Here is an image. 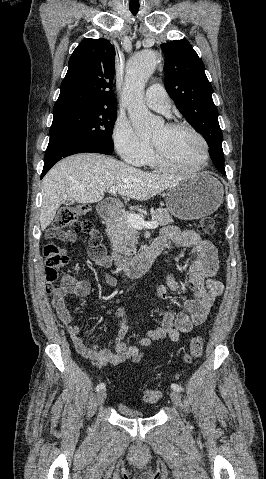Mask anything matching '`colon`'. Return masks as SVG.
Returning <instances> with one entry per match:
<instances>
[{"mask_svg":"<svg viewBox=\"0 0 266 479\" xmlns=\"http://www.w3.org/2000/svg\"><path fill=\"white\" fill-rule=\"evenodd\" d=\"M89 211L86 204L66 206L60 209L55 223V229L47 234V243L44 246L43 253L45 256L46 270V288L50 292L55 287L61 268L67 263L68 257L65 251L55 243L58 233L62 229L76 235L83 234L89 238L91 244L100 247L101 236L94 227V224L88 219L80 217ZM199 232L203 235L214 236L216 234L215 223L212 218H203L199 225ZM204 340L201 336L192 338L188 349L184 354V361L190 363L192 360L202 355ZM161 397V393L156 389H147L143 393V399L147 403H157Z\"/></svg>","mask_w":266,"mask_h":479,"instance_id":"1","label":"colon"}]
</instances>
